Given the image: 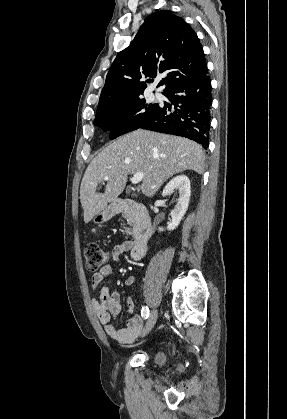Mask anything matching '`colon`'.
I'll return each mask as SVG.
<instances>
[{
    "mask_svg": "<svg viewBox=\"0 0 287 419\" xmlns=\"http://www.w3.org/2000/svg\"><path fill=\"white\" fill-rule=\"evenodd\" d=\"M85 257L88 270L96 271L107 265L111 253L97 243H90L85 247Z\"/></svg>",
    "mask_w": 287,
    "mask_h": 419,
    "instance_id": "5ec220e1",
    "label": "colon"
}]
</instances>
